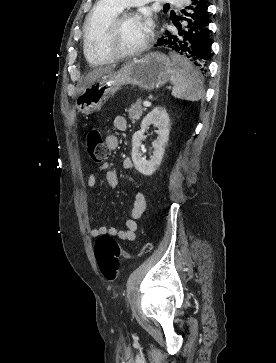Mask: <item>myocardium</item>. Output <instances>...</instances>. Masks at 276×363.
Returning <instances> with one entry per match:
<instances>
[{"mask_svg": "<svg viewBox=\"0 0 276 363\" xmlns=\"http://www.w3.org/2000/svg\"><path fill=\"white\" fill-rule=\"evenodd\" d=\"M136 13L131 10L119 12L107 25L104 36L103 45L105 51L113 59H122L127 57L138 56L142 54L150 45L152 40V34L149 33L146 40L138 47L131 50H121L115 46V38L118 34L121 24L127 18L134 17Z\"/></svg>", "mask_w": 276, "mask_h": 363, "instance_id": "f54148a6", "label": "myocardium"}]
</instances>
